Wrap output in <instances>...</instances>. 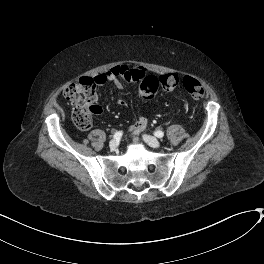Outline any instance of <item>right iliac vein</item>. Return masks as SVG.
<instances>
[{
	"instance_id": "63e3f726",
	"label": "right iliac vein",
	"mask_w": 264,
	"mask_h": 264,
	"mask_svg": "<svg viewBox=\"0 0 264 264\" xmlns=\"http://www.w3.org/2000/svg\"><path fill=\"white\" fill-rule=\"evenodd\" d=\"M109 147L111 148V150H116L117 149V141L116 140H111L109 143Z\"/></svg>"
}]
</instances>
